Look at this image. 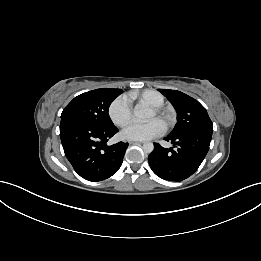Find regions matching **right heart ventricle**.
Wrapping results in <instances>:
<instances>
[{"instance_id":"obj_1","label":"right heart ventricle","mask_w":261,"mask_h":261,"mask_svg":"<svg viewBox=\"0 0 261 261\" xmlns=\"http://www.w3.org/2000/svg\"><path fill=\"white\" fill-rule=\"evenodd\" d=\"M130 98L133 100H139L141 102H145L151 107H159L162 106L165 102L164 96L155 90H144L140 93H132Z\"/></svg>"}]
</instances>
